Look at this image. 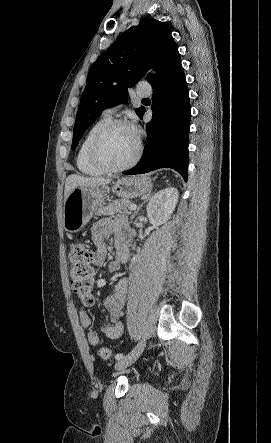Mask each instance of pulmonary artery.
<instances>
[{
    "instance_id": "1",
    "label": "pulmonary artery",
    "mask_w": 271,
    "mask_h": 443,
    "mask_svg": "<svg viewBox=\"0 0 271 443\" xmlns=\"http://www.w3.org/2000/svg\"><path fill=\"white\" fill-rule=\"evenodd\" d=\"M138 94H139L140 96H146V95L149 94V92L138 91ZM112 111H113L112 109H108V110H106V111L104 112V114H105V115H108V114H110Z\"/></svg>"
}]
</instances>
